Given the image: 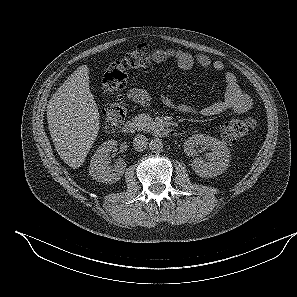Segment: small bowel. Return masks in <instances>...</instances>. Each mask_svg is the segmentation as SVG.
<instances>
[{"label": "small bowel", "mask_w": 297, "mask_h": 297, "mask_svg": "<svg viewBox=\"0 0 297 297\" xmlns=\"http://www.w3.org/2000/svg\"><path fill=\"white\" fill-rule=\"evenodd\" d=\"M152 58L156 63L174 61L178 67L184 71L191 70L195 65L211 68L216 71H223L225 67L222 61L212 59L206 55H198L194 57L186 52L167 48L155 49ZM224 81V97L212 104L202 107L176 104L165 95L162 96V102L165 106L174 109L179 113L198 114L205 117L214 116L227 110H232L237 113L248 112L251 108L252 101L249 95L241 90L236 76L231 72H226L224 74ZM127 97L143 107H148L151 103L150 95L142 88H129L127 90Z\"/></svg>", "instance_id": "1"}]
</instances>
